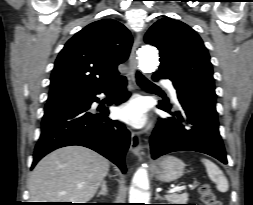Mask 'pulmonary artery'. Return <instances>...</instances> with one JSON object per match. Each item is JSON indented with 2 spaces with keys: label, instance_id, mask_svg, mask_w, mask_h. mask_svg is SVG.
Masks as SVG:
<instances>
[{
  "label": "pulmonary artery",
  "instance_id": "obj_1",
  "mask_svg": "<svg viewBox=\"0 0 253 205\" xmlns=\"http://www.w3.org/2000/svg\"><path fill=\"white\" fill-rule=\"evenodd\" d=\"M162 84H163V86H165L168 89L171 97L173 99H177V92H176V89L174 88L173 84L170 81H163Z\"/></svg>",
  "mask_w": 253,
  "mask_h": 205
}]
</instances>
